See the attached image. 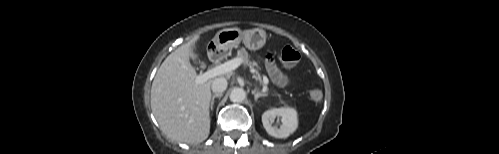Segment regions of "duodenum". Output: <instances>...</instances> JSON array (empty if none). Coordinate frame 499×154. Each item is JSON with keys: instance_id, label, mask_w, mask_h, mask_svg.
Returning a JSON list of instances; mask_svg holds the SVG:
<instances>
[{"instance_id": "duodenum-1", "label": "duodenum", "mask_w": 499, "mask_h": 154, "mask_svg": "<svg viewBox=\"0 0 499 154\" xmlns=\"http://www.w3.org/2000/svg\"><path fill=\"white\" fill-rule=\"evenodd\" d=\"M221 56V52L217 48L211 49L209 52V58L212 62H217L219 57Z\"/></svg>"}]
</instances>
